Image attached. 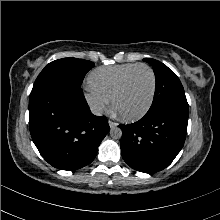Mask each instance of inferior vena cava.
<instances>
[{"mask_svg": "<svg viewBox=\"0 0 220 220\" xmlns=\"http://www.w3.org/2000/svg\"><path fill=\"white\" fill-rule=\"evenodd\" d=\"M90 111L92 114L96 116H100L103 113V106L102 104H98V103L91 104Z\"/></svg>", "mask_w": 220, "mask_h": 220, "instance_id": "1", "label": "inferior vena cava"}]
</instances>
